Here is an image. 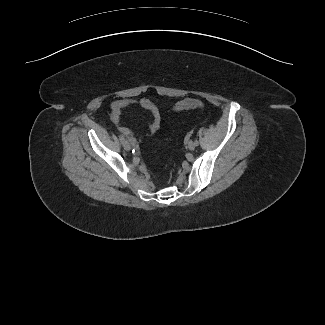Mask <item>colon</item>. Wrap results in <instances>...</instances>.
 I'll return each instance as SVG.
<instances>
[{
	"label": "colon",
	"instance_id": "obj_1",
	"mask_svg": "<svg viewBox=\"0 0 325 325\" xmlns=\"http://www.w3.org/2000/svg\"><path fill=\"white\" fill-rule=\"evenodd\" d=\"M203 107H204V103L198 99H184L175 105L174 110L181 111V110L203 108Z\"/></svg>",
	"mask_w": 325,
	"mask_h": 325
}]
</instances>
